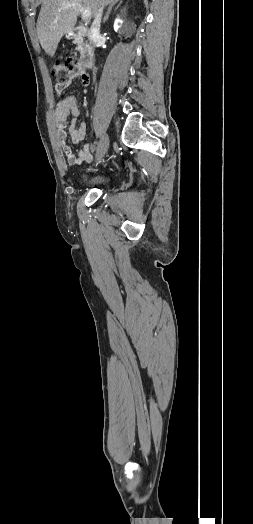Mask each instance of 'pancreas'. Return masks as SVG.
Instances as JSON below:
<instances>
[{"label": "pancreas", "mask_w": 253, "mask_h": 524, "mask_svg": "<svg viewBox=\"0 0 253 524\" xmlns=\"http://www.w3.org/2000/svg\"><path fill=\"white\" fill-rule=\"evenodd\" d=\"M78 46L76 47V50L80 51V52H83L84 50V45L80 44L79 42L77 43Z\"/></svg>", "instance_id": "obj_1"}]
</instances>
